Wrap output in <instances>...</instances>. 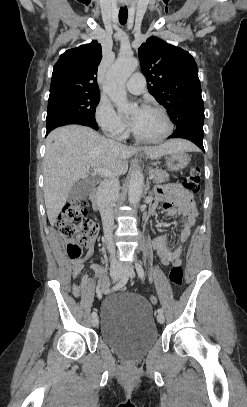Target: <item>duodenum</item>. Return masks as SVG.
I'll list each match as a JSON object with an SVG mask.
<instances>
[{"label": "duodenum", "mask_w": 247, "mask_h": 407, "mask_svg": "<svg viewBox=\"0 0 247 407\" xmlns=\"http://www.w3.org/2000/svg\"><path fill=\"white\" fill-rule=\"evenodd\" d=\"M90 202L94 210L98 213L103 212V202L101 200L100 189L94 188L89 195Z\"/></svg>", "instance_id": "duodenum-1"}]
</instances>
